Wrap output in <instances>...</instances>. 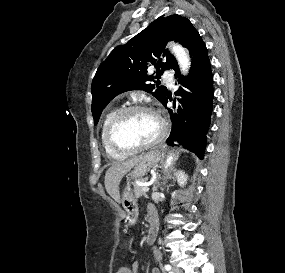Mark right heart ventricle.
<instances>
[{
    "label": "right heart ventricle",
    "mask_w": 285,
    "mask_h": 273,
    "mask_svg": "<svg viewBox=\"0 0 285 273\" xmlns=\"http://www.w3.org/2000/svg\"><path fill=\"white\" fill-rule=\"evenodd\" d=\"M118 110H119L118 108L109 109L105 113V115L102 119L101 127H100V139H101L102 147L108 156L115 158V159H121V158H124L126 156L125 153H121V152H118L115 149H113L107 141L108 125H109L112 117L116 114V112Z\"/></svg>",
    "instance_id": "obj_1"
}]
</instances>
